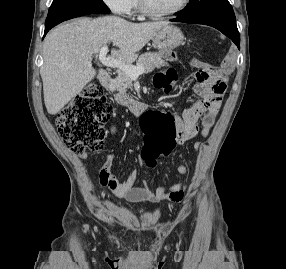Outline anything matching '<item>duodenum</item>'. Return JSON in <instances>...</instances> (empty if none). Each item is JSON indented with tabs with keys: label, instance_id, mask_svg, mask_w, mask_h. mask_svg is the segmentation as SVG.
Segmentation results:
<instances>
[{
	"label": "duodenum",
	"instance_id": "duodenum-1",
	"mask_svg": "<svg viewBox=\"0 0 286 269\" xmlns=\"http://www.w3.org/2000/svg\"><path fill=\"white\" fill-rule=\"evenodd\" d=\"M99 76L101 78L103 86L107 90L112 91L114 88V83H113V79L111 75L105 69H102L99 72ZM119 102L122 105L127 106L130 109V111L135 115L142 113L144 110V105L134 100H127V99L120 98Z\"/></svg>",
	"mask_w": 286,
	"mask_h": 269
}]
</instances>
